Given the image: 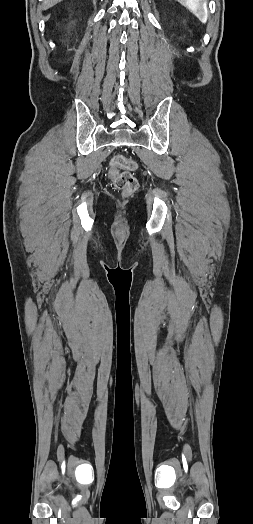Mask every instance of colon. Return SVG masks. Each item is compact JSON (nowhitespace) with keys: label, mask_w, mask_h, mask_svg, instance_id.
<instances>
[{"label":"colon","mask_w":253,"mask_h":524,"mask_svg":"<svg viewBox=\"0 0 253 524\" xmlns=\"http://www.w3.org/2000/svg\"><path fill=\"white\" fill-rule=\"evenodd\" d=\"M135 168L136 163L123 156L114 157L110 163L108 175L114 187L125 195H130L137 189V180L130 172ZM121 169H126V171Z\"/></svg>","instance_id":"1"}]
</instances>
